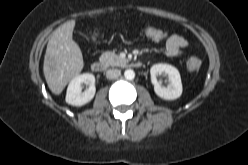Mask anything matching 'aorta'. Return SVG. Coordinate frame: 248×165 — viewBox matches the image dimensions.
Listing matches in <instances>:
<instances>
[{
	"label": "aorta",
	"mask_w": 248,
	"mask_h": 165,
	"mask_svg": "<svg viewBox=\"0 0 248 165\" xmlns=\"http://www.w3.org/2000/svg\"><path fill=\"white\" fill-rule=\"evenodd\" d=\"M124 76H125V78H126L127 80H133L134 77H135V73H134L133 70L127 69V70H125V72H124Z\"/></svg>",
	"instance_id": "obj_1"
}]
</instances>
